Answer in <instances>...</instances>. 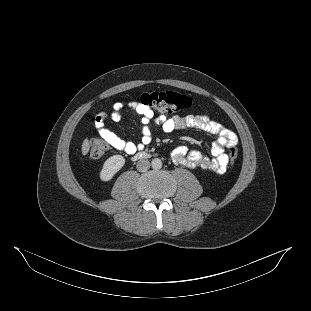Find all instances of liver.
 <instances>
[{
    "mask_svg": "<svg viewBox=\"0 0 311 311\" xmlns=\"http://www.w3.org/2000/svg\"><path fill=\"white\" fill-rule=\"evenodd\" d=\"M89 149H90V144H89L88 139L86 138L82 143V154L87 155V153L89 152Z\"/></svg>",
    "mask_w": 311,
    "mask_h": 311,
    "instance_id": "1",
    "label": "liver"
}]
</instances>
